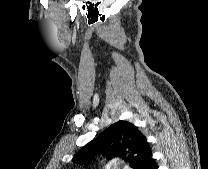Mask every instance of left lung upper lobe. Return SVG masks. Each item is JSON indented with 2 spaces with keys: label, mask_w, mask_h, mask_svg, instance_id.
I'll return each mask as SVG.
<instances>
[{
  "label": "left lung upper lobe",
  "mask_w": 208,
  "mask_h": 169,
  "mask_svg": "<svg viewBox=\"0 0 208 169\" xmlns=\"http://www.w3.org/2000/svg\"><path fill=\"white\" fill-rule=\"evenodd\" d=\"M149 149L146 137L134 124L119 121L86 144L72 161L85 164L92 161L95 155L102 154L108 160L122 158L132 169H138L144 154Z\"/></svg>",
  "instance_id": "obj_1"
}]
</instances>
